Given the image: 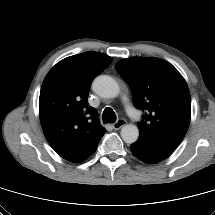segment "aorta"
I'll use <instances>...</instances> for the list:
<instances>
[{
    "label": "aorta",
    "mask_w": 215,
    "mask_h": 215,
    "mask_svg": "<svg viewBox=\"0 0 215 215\" xmlns=\"http://www.w3.org/2000/svg\"><path fill=\"white\" fill-rule=\"evenodd\" d=\"M92 90L103 98H115L120 93L118 83L110 76H97L92 83ZM121 137L126 143H134L139 137V129L134 124H126L121 129Z\"/></svg>",
    "instance_id": "aorta-1"
}]
</instances>
